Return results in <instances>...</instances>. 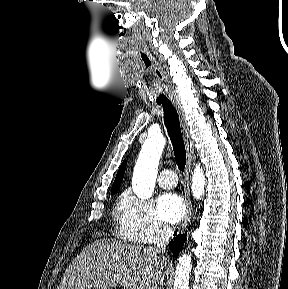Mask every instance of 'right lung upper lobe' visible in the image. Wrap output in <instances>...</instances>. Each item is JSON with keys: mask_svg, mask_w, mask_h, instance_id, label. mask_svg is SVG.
I'll return each instance as SVG.
<instances>
[{"mask_svg": "<svg viewBox=\"0 0 288 289\" xmlns=\"http://www.w3.org/2000/svg\"><path fill=\"white\" fill-rule=\"evenodd\" d=\"M125 168H126V160L123 161V163L121 164V166L118 170V173H117L115 181L113 183L111 192L115 191V190H119L121 182H122L123 177H124Z\"/></svg>", "mask_w": 288, "mask_h": 289, "instance_id": "1", "label": "right lung upper lobe"}]
</instances>
